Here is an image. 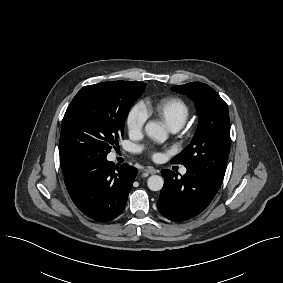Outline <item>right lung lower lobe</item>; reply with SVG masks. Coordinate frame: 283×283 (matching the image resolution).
I'll return each instance as SVG.
<instances>
[{
	"label": "right lung lower lobe",
	"instance_id": "obj_1",
	"mask_svg": "<svg viewBox=\"0 0 283 283\" xmlns=\"http://www.w3.org/2000/svg\"><path fill=\"white\" fill-rule=\"evenodd\" d=\"M137 169L127 163L120 167L106 156L83 158L66 174L65 185L77 208L89 218L110 221L126 204Z\"/></svg>",
	"mask_w": 283,
	"mask_h": 283
}]
</instances>
